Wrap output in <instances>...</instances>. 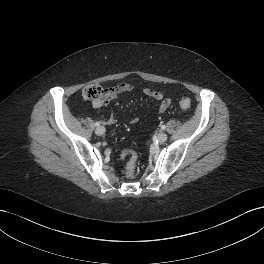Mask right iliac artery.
I'll list each match as a JSON object with an SVG mask.
<instances>
[{
    "label": "right iliac artery",
    "instance_id": "1",
    "mask_svg": "<svg viewBox=\"0 0 264 264\" xmlns=\"http://www.w3.org/2000/svg\"><path fill=\"white\" fill-rule=\"evenodd\" d=\"M95 126H100V123L99 122H95Z\"/></svg>",
    "mask_w": 264,
    "mask_h": 264
}]
</instances>
